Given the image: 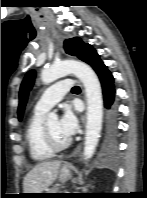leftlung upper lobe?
<instances>
[{"instance_id":"1","label":"left lung upper lobe","mask_w":147,"mask_h":198,"mask_svg":"<svg viewBox=\"0 0 147 198\" xmlns=\"http://www.w3.org/2000/svg\"><path fill=\"white\" fill-rule=\"evenodd\" d=\"M89 47H90L89 44L83 43L78 37H75L73 39H67L64 42V48L66 53L73 56H78V58L81 59L82 61L84 60L86 51ZM34 79H35V71L31 70L26 74L21 84L20 94H19V107H18L19 120H21L23 117V112L25 109L28 93L33 86Z\"/></svg>"}]
</instances>
